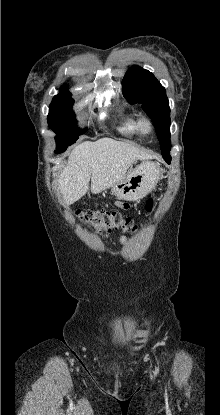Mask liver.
<instances>
[{"instance_id": "6515ba94", "label": "liver", "mask_w": 220, "mask_h": 415, "mask_svg": "<svg viewBox=\"0 0 220 415\" xmlns=\"http://www.w3.org/2000/svg\"><path fill=\"white\" fill-rule=\"evenodd\" d=\"M149 158L133 144L111 138L79 144L58 179L64 203L69 205L81 199L89 189L90 179L91 192L98 194L120 182L134 161Z\"/></svg>"}]
</instances>
